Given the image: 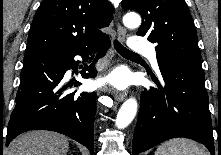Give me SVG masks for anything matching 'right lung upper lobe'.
I'll return each instance as SVG.
<instances>
[{
	"mask_svg": "<svg viewBox=\"0 0 221 155\" xmlns=\"http://www.w3.org/2000/svg\"><path fill=\"white\" fill-rule=\"evenodd\" d=\"M113 7L108 0H43L28 35L25 53L39 49H84L108 37Z\"/></svg>",
	"mask_w": 221,
	"mask_h": 155,
	"instance_id": "1",
	"label": "right lung upper lobe"
}]
</instances>
